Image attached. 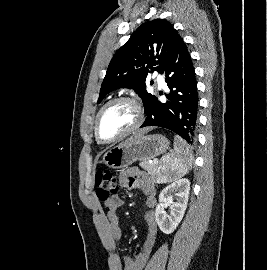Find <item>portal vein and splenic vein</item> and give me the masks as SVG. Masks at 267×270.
Instances as JSON below:
<instances>
[{
  "label": "portal vein and splenic vein",
  "instance_id": "18ae733b",
  "mask_svg": "<svg viewBox=\"0 0 267 270\" xmlns=\"http://www.w3.org/2000/svg\"><path fill=\"white\" fill-rule=\"evenodd\" d=\"M153 162H154V163H158V160H154Z\"/></svg>",
  "mask_w": 267,
  "mask_h": 270
}]
</instances>
